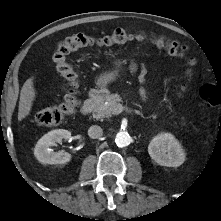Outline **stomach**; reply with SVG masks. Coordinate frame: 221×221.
Here are the masks:
<instances>
[{"label": "stomach", "mask_w": 221, "mask_h": 221, "mask_svg": "<svg viewBox=\"0 0 221 221\" xmlns=\"http://www.w3.org/2000/svg\"><path fill=\"white\" fill-rule=\"evenodd\" d=\"M117 76L118 70L102 73L97 79V85L101 88H105L109 83L113 82Z\"/></svg>", "instance_id": "0dacf381"}]
</instances>
